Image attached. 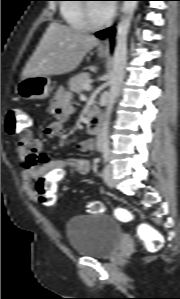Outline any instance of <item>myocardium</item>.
Wrapping results in <instances>:
<instances>
[{
  "label": "myocardium",
  "mask_w": 180,
  "mask_h": 299,
  "mask_svg": "<svg viewBox=\"0 0 180 299\" xmlns=\"http://www.w3.org/2000/svg\"><path fill=\"white\" fill-rule=\"evenodd\" d=\"M83 11H84V20L87 25V28L98 30L108 26L112 22V15H109L107 19L102 22H94L92 15H91V5L90 3L83 4Z\"/></svg>",
  "instance_id": "f54148a6"
}]
</instances>
